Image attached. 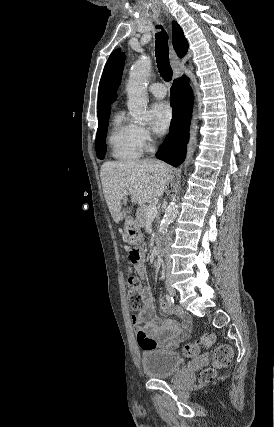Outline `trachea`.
<instances>
[{
    "instance_id": "3493384b",
    "label": "trachea",
    "mask_w": 274,
    "mask_h": 427,
    "mask_svg": "<svg viewBox=\"0 0 274 427\" xmlns=\"http://www.w3.org/2000/svg\"><path fill=\"white\" fill-rule=\"evenodd\" d=\"M156 28H161V32L156 33L155 52L157 67L161 77L166 82H169L172 78V68L169 63V37L161 25H157Z\"/></svg>"
}]
</instances>
